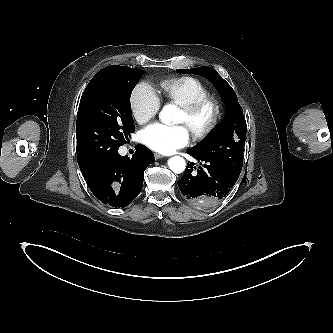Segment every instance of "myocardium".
Instances as JSON below:
<instances>
[{
    "instance_id": "myocardium-1",
    "label": "myocardium",
    "mask_w": 333,
    "mask_h": 333,
    "mask_svg": "<svg viewBox=\"0 0 333 333\" xmlns=\"http://www.w3.org/2000/svg\"><path fill=\"white\" fill-rule=\"evenodd\" d=\"M207 108L212 109V116L208 124L201 129L190 130L192 137L196 141H201L207 138L219 126L224 113L223 104L218 98L207 96L190 104L181 106V111L186 115L189 121L193 120Z\"/></svg>"
}]
</instances>
